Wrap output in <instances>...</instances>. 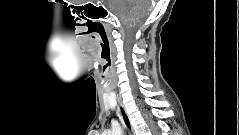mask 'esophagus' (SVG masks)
Returning <instances> with one entry per match:
<instances>
[{"mask_svg": "<svg viewBox=\"0 0 239 135\" xmlns=\"http://www.w3.org/2000/svg\"><path fill=\"white\" fill-rule=\"evenodd\" d=\"M117 101H118V113H119V116H120V119H121L123 125L128 130L130 135H135L134 128H133L130 118L125 110L124 105L122 104L120 98H118Z\"/></svg>", "mask_w": 239, "mask_h": 135, "instance_id": "34e87169", "label": "esophagus"}]
</instances>
